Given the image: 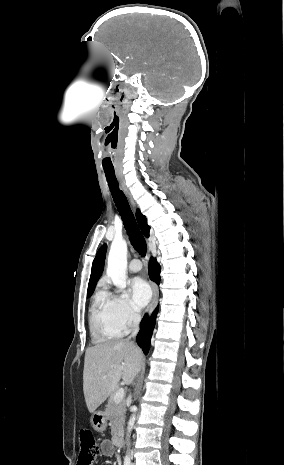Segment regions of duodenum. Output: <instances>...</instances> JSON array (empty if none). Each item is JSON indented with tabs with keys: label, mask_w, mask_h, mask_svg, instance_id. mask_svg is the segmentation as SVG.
Listing matches in <instances>:
<instances>
[{
	"label": "duodenum",
	"mask_w": 284,
	"mask_h": 465,
	"mask_svg": "<svg viewBox=\"0 0 284 465\" xmlns=\"http://www.w3.org/2000/svg\"><path fill=\"white\" fill-rule=\"evenodd\" d=\"M114 444L118 447L123 444V432L121 430H116L114 435Z\"/></svg>",
	"instance_id": "obj_1"
}]
</instances>
